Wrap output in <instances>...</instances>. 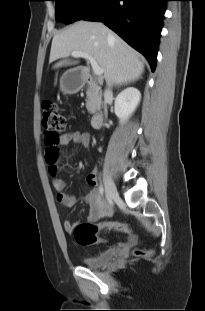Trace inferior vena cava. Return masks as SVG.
Listing matches in <instances>:
<instances>
[{
  "mask_svg": "<svg viewBox=\"0 0 205 311\" xmlns=\"http://www.w3.org/2000/svg\"><path fill=\"white\" fill-rule=\"evenodd\" d=\"M111 95H112V92L110 90H106L105 93H104L105 97L111 96Z\"/></svg>",
  "mask_w": 205,
  "mask_h": 311,
  "instance_id": "1",
  "label": "inferior vena cava"
}]
</instances>
